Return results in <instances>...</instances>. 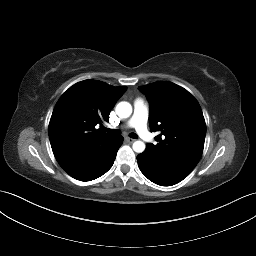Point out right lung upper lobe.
Masks as SVG:
<instances>
[{
	"label": "right lung upper lobe",
	"mask_w": 256,
	"mask_h": 256,
	"mask_svg": "<svg viewBox=\"0 0 256 256\" xmlns=\"http://www.w3.org/2000/svg\"><path fill=\"white\" fill-rule=\"evenodd\" d=\"M98 80L70 87L58 100L49 123V139L58 162L84 153L116 136L96 129L109 120L111 109L126 91Z\"/></svg>",
	"instance_id": "cb5924a9"
}]
</instances>
